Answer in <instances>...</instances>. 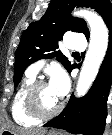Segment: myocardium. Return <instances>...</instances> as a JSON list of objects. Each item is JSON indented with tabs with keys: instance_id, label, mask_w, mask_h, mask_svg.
<instances>
[{
	"instance_id": "myocardium-1",
	"label": "myocardium",
	"mask_w": 112,
	"mask_h": 135,
	"mask_svg": "<svg viewBox=\"0 0 112 135\" xmlns=\"http://www.w3.org/2000/svg\"><path fill=\"white\" fill-rule=\"evenodd\" d=\"M47 82L45 80H36L31 86L28 88L25 95V107L30 116L37 120H47L58 115L62 108L63 102L60 101L59 105L50 112H44L41 110L38 104V91L39 89L46 85Z\"/></svg>"
}]
</instances>
